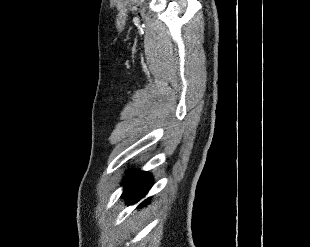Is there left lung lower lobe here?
Here are the masks:
<instances>
[{
    "instance_id": "1",
    "label": "left lung lower lobe",
    "mask_w": 310,
    "mask_h": 247,
    "mask_svg": "<svg viewBox=\"0 0 310 247\" xmlns=\"http://www.w3.org/2000/svg\"><path fill=\"white\" fill-rule=\"evenodd\" d=\"M152 182L150 174L146 172H131L125 178V188L122 196L127 198L129 204H133L145 196L151 188ZM143 204H146V201L141 203V205Z\"/></svg>"
}]
</instances>
